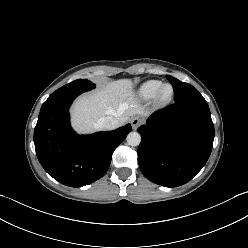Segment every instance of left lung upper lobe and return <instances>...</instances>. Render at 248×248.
Segmentation results:
<instances>
[{
    "instance_id": "left-lung-upper-lobe-1",
    "label": "left lung upper lobe",
    "mask_w": 248,
    "mask_h": 248,
    "mask_svg": "<svg viewBox=\"0 0 248 248\" xmlns=\"http://www.w3.org/2000/svg\"><path fill=\"white\" fill-rule=\"evenodd\" d=\"M167 79L174 88V101L180 102L187 99L202 97V95L190 84L167 75Z\"/></svg>"
}]
</instances>
